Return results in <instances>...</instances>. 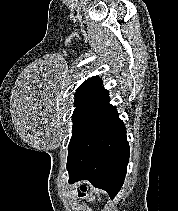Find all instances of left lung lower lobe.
<instances>
[{"mask_svg":"<svg viewBox=\"0 0 178 211\" xmlns=\"http://www.w3.org/2000/svg\"><path fill=\"white\" fill-rule=\"evenodd\" d=\"M126 128L108 104L93 128L67 160L69 183L88 180L113 199L123 185L129 161Z\"/></svg>","mask_w":178,"mask_h":211,"instance_id":"0a47b994","label":"left lung lower lobe"}]
</instances>
